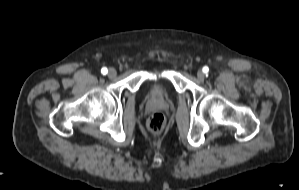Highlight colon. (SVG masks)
<instances>
[{
    "instance_id": "obj_1",
    "label": "colon",
    "mask_w": 299,
    "mask_h": 190,
    "mask_svg": "<svg viewBox=\"0 0 299 190\" xmlns=\"http://www.w3.org/2000/svg\"><path fill=\"white\" fill-rule=\"evenodd\" d=\"M147 126L153 135H159L165 126L164 116L161 113L152 114L148 119Z\"/></svg>"
}]
</instances>
